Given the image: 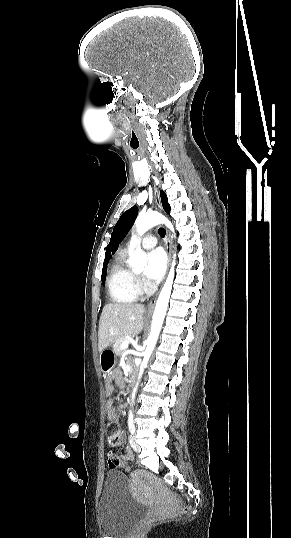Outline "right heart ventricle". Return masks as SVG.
<instances>
[{
    "mask_svg": "<svg viewBox=\"0 0 291 538\" xmlns=\"http://www.w3.org/2000/svg\"><path fill=\"white\" fill-rule=\"evenodd\" d=\"M127 251L119 252L110 267L107 280L111 300L117 304L135 302L139 296L133 271L126 264Z\"/></svg>",
    "mask_w": 291,
    "mask_h": 538,
    "instance_id": "right-heart-ventricle-1",
    "label": "right heart ventricle"
}]
</instances>
